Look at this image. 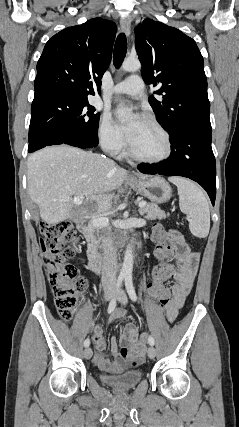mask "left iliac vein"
Segmentation results:
<instances>
[{
	"instance_id": "4c4485c4",
	"label": "left iliac vein",
	"mask_w": 239,
	"mask_h": 427,
	"mask_svg": "<svg viewBox=\"0 0 239 427\" xmlns=\"http://www.w3.org/2000/svg\"><path fill=\"white\" fill-rule=\"evenodd\" d=\"M117 300L125 305L127 303V296L123 289H121L117 294ZM156 356V349L153 346H150L148 349V357L153 359Z\"/></svg>"
}]
</instances>
